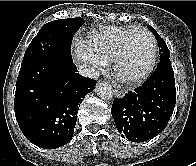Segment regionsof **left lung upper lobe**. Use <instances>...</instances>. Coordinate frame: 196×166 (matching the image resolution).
<instances>
[{"label": "left lung upper lobe", "instance_id": "1", "mask_svg": "<svg viewBox=\"0 0 196 166\" xmlns=\"http://www.w3.org/2000/svg\"><path fill=\"white\" fill-rule=\"evenodd\" d=\"M148 28L154 33L155 38L158 42L159 46V52H160V60L165 59V58H170V52L167 48V45L165 41L159 36V34L156 32L154 28H152L150 25H148Z\"/></svg>", "mask_w": 196, "mask_h": 166}]
</instances>
